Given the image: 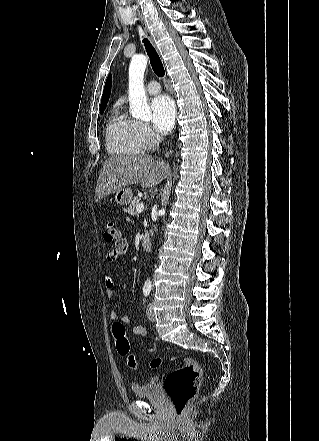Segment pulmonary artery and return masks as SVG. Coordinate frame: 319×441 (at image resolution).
Segmentation results:
<instances>
[{"label":"pulmonary artery","instance_id":"1","mask_svg":"<svg viewBox=\"0 0 319 441\" xmlns=\"http://www.w3.org/2000/svg\"><path fill=\"white\" fill-rule=\"evenodd\" d=\"M160 91V85L157 81L152 80L146 86V92L149 94H157Z\"/></svg>","mask_w":319,"mask_h":441}]
</instances>
